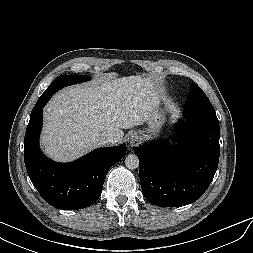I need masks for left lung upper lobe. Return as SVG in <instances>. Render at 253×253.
<instances>
[{
	"mask_svg": "<svg viewBox=\"0 0 253 253\" xmlns=\"http://www.w3.org/2000/svg\"><path fill=\"white\" fill-rule=\"evenodd\" d=\"M183 114H216L208 97L195 82L191 85L190 94L187 98Z\"/></svg>",
	"mask_w": 253,
	"mask_h": 253,
	"instance_id": "1",
	"label": "left lung upper lobe"
}]
</instances>
